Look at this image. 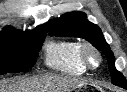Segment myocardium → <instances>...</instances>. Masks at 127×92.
<instances>
[{
    "label": "myocardium",
    "instance_id": "f54148a6",
    "mask_svg": "<svg viewBox=\"0 0 127 92\" xmlns=\"http://www.w3.org/2000/svg\"><path fill=\"white\" fill-rule=\"evenodd\" d=\"M92 58L96 59L95 63L92 62ZM80 59L87 69H97L102 63V55L100 51L90 43L81 45Z\"/></svg>",
    "mask_w": 127,
    "mask_h": 92
}]
</instances>
